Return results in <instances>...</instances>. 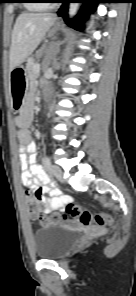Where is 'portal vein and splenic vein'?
<instances>
[{
	"mask_svg": "<svg viewBox=\"0 0 136 296\" xmlns=\"http://www.w3.org/2000/svg\"><path fill=\"white\" fill-rule=\"evenodd\" d=\"M34 69H35L36 72H39L40 66L39 65H36Z\"/></svg>",
	"mask_w": 136,
	"mask_h": 296,
	"instance_id": "1",
	"label": "portal vein and splenic vein"
}]
</instances>
